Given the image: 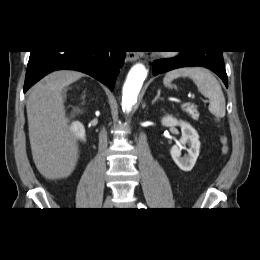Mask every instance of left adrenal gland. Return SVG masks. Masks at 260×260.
<instances>
[{
    "mask_svg": "<svg viewBox=\"0 0 260 260\" xmlns=\"http://www.w3.org/2000/svg\"><path fill=\"white\" fill-rule=\"evenodd\" d=\"M158 99L162 100V98L160 97V89L157 91L156 97L152 100V104H154Z\"/></svg>",
    "mask_w": 260,
    "mask_h": 260,
    "instance_id": "left-adrenal-gland-1",
    "label": "left adrenal gland"
}]
</instances>
